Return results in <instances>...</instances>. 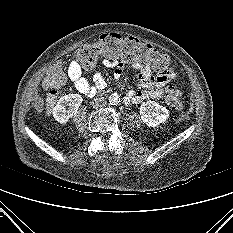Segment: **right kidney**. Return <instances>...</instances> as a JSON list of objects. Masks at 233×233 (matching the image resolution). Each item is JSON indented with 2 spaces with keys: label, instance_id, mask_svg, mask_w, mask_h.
Segmentation results:
<instances>
[{
  "label": "right kidney",
  "instance_id": "ca27d5eb",
  "mask_svg": "<svg viewBox=\"0 0 233 233\" xmlns=\"http://www.w3.org/2000/svg\"><path fill=\"white\" fill-rule=\"evenodd\" d=\"M83 99L79 94H69L61 97L53 109V117L60 123L68 122L77 113Z\"/></svg>",
  "mask_w": 233,
  "mask_h": 233
}]
</instances>
